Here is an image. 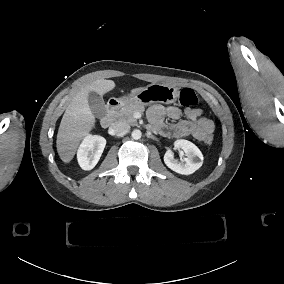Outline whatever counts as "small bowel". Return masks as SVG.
<instances>
[{
	"label": "small bowel",
	"instance_id": "1",
	"mask_svg": "<svg viewBox=\"0 0 284 284\" xmlns=\"http://www.w3.org/2000/svg\"><path fill=\"white\" fill-rule=\"evenodd\" d=\"M175 106L154 105L148 111L151 124L168 137L182 138L191 136L199 141H205L214 130V123L205 117L201 109H187L184 112ZM168 118L172 123L164 122Z\"/></svg>",
	"mask_w": 284,
	"mask_h": 284
}]
</instances>
